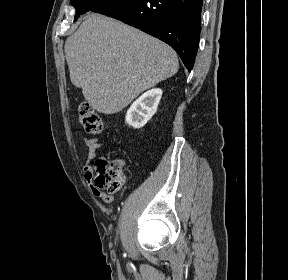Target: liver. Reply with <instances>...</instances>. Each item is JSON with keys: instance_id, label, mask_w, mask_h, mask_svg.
<instances>
[{"instance_id": "liver-1", "label": "liver", "mask_w": 288, "mask_h": 280, "mask_svg": "<svg viewBox=\"0 0 288 280\" xmlns=\"http://www.w3.org/2000/svg\"><path fill=\"white\" fill-rule=\"evenodd\" d=\"M71 82L100 113L113 114L178 71L162 41L100 14H88L65 42Z\"/></svg>"}]
</instances>
